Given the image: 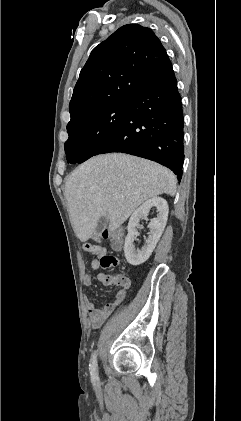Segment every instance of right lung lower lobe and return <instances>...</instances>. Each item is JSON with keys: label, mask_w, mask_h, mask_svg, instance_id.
Returning <instances> with one entry per match:
<instances>
[{"label": "right lung lower lobe", "mask_w": 241, "mask_h": 421, "mask_svg": "<svg viewBox=\"0 0 241 421\" xmlns=\"http://www.w3.org/2000/svg\"><path fill=\"white\" fill-rule=\"evenodd\" d=\"M183 111L177 80L168 59L128 100L119 130L95 155L122 152L150 159L182 177Z\"/></svg>", "instance_id": "98d812e1"}]
</instances>
